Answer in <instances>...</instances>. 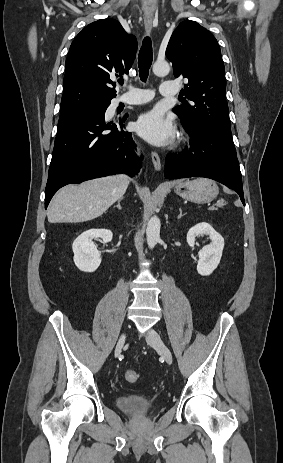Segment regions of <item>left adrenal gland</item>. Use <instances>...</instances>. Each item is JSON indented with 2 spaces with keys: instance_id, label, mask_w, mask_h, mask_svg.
Instances as JSON below:
<instances>
[{
  "instance_id": "obj_1",
  "label": "left adrenal gland",
  "mask_w": 283,
  "mask_h": 463,
  "mask_svg": "<svg viewBox=\"0 0 283 463\" xmlns=\"http://www.w3.org/2000/svg\"><path fill=\"white\" fill-rule=\"evenodd\" d=\"M185 214L182 213V209L179 208V215H178V219H180L182 216H184Z\"/></svg>"
}]
</instances>
